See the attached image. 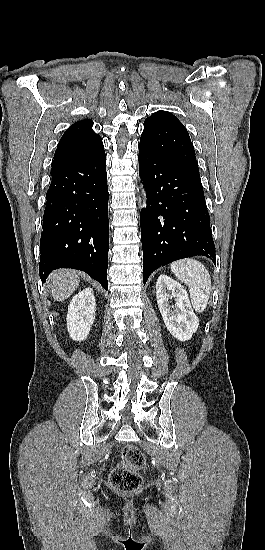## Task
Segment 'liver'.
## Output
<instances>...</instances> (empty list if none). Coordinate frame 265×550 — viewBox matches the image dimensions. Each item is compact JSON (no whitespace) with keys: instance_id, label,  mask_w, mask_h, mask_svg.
I'll return each mask as SVG.
<instances>
[{"instance_id":"1","label":"liver","mask_w":265,"mask_h":550,"mask_svg":"<svg viewBox=\"0 0 265 550\" xmlns=\"http://www.w3.org/2000/svg\"><path fill=\"white\" fill-rule=\"evenodd\" d=\"M80 283V273L70 269L54 271L48 281L52 297L56 301L69 298Z\"/></svg>"}]
</instances>
